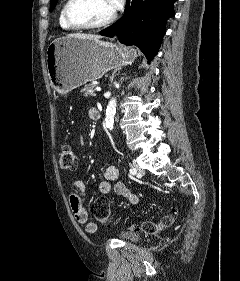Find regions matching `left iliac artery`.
I'll list each match as a JSON object with an SVG mask.
<instances>
[{
  "instance_id": "obj_1",
  "label": "left iliac artery",
  "mask_w": 240,
  "mask_h": 281,
  "mask_svg": "<svg viewBox=\"0 0 240 281\" xmlns=\"http://www.w3.org/2000/svg\"><path fill=\"white\" fill-rule=\"evenodd\" d=\"M129 171L132 175H135L137 173V170L135 168H131Z\"/></svg>"
}]
</instances>
